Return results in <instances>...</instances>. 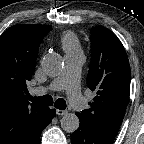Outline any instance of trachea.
<instances>
[{
  "label": "trachea",
  "instance_id": "1",
  "mask_svg": "<svg viewBox=\"0 0 144 144\" xmlns=\"http://www.w3.org/2000/svg\"><path fill=\"white\" fill-rule=\"evenodd\" d=\"M27 98L31 102L39 104V105H52L53 104V98L50 95L33 97L30 94H27ZM54 106L57 109L64 110L66 108V101L62 98H59L55 101Z\"/></svg>",
  "mask_w": 144,
  "mask_h": 144
}]
</instances>
